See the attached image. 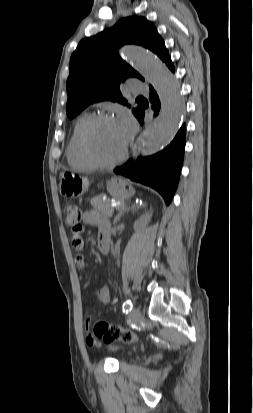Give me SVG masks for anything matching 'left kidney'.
Segmentation results:
<instances>
[{
  "label": "left kidney",
  "instance_id": "1",
  "mask_svg": "<svg viewBox=\"0 0 253 413\" xmlns=\"http://www.w3.org/2000/svg\"><path fill=\"white\" fill-rule=\"evenodd\" d=\"M151 217H152V213H149V212L142 215L138 220L135 221L134 229L136 230V229L146 226L150 222Z\"/></svg>",
  "mask_w": 253,
  "mask_h": 413
}]
</instances>
